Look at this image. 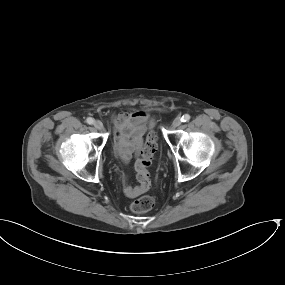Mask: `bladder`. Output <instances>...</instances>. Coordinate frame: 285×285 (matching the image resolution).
Wrapping results in <instances>:
<instances>
[{
    "label": "bladder",
    "instance_id": "obj_1",
    "mask_svg": "<svg viewBox=\"0 0 285 285\" xmlns=\"http://www.w3.org/2000/svg\"><path fill=\"white\" fill-rule=\"evenodd\" d=\"M146 122H147L148 125H150V121L149 120H147Z\"/></svg>",
    "mask_w": 285,
    "mask_h": 285
}]
</instances>
